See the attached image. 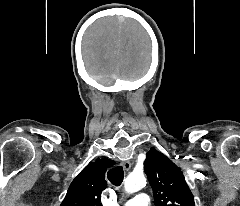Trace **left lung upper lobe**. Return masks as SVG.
Masks as SVG:
<instances>
[{
    "label": "left lung upper lobe",
    "instance_id": "5c2ea615",
    "mask_svg": "<svg viewBox=\"0 0 240 206\" xmlns=\"http://www.w3.org/2000/svg\"><path fill=\"white\" fill-rule=\"evenodd\" d=\"M144 171L153 189L156 206H195L182 172L154 148L146 154Z\"/></svg>",
    "mask_w": 240,
    "mask_h": 206
}]
</instances>
